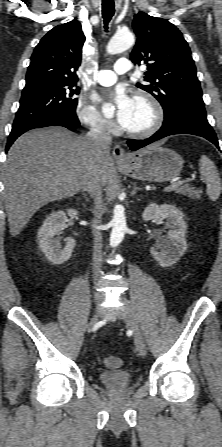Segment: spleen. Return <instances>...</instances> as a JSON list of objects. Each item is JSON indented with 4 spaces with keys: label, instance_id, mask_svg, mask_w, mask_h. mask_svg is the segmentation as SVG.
<instances>
[{
    "label": "spleen",
    "instance_id": "obj_1",
    "mask_svg": "<svg viewBox=\"0 0 222 447\" xmlns=\"http://www.w3.org/2000/svg\"><path fill=\"white\" fill-rule=\"evenodd\" d=\"M200 173L206 179V193L210 200L218 199L222 191V183L215 164L206 156L203 155L200 159Z\"/></svg>",
    "mask_w": 222,
    "mask_h": 447
}]
</instances>
